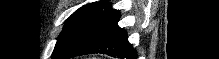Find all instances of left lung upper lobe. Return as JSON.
<instances>
[{"label":"left lung upper lobe","mask_w":219,"mask_h":59,"mask_svg":"<svg viewBox=\"0 0 219 59\" xmlns=\"http://www.w3.org/2000/svg\"><path fill=\"white\" fill-rule=\"evenodd\" d=\"M107 6L108 1L101 0L84 5L74 12L57 39L52 59H66L91 34Z\"/></svg>","instance_id":"1"}]
</instances>
